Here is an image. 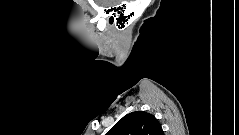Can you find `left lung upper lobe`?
<instances>
[{"mask_svg":"<svg viewBox=\"0 0 239 135\" xmlns=\"http://www.w3.org/2000/svg\"><path fill=\"white\" fill-rule=\"evenodd\" d=\"M107 135H163V130L152 114L135 111L119 120Z\"/></svg>","mask_w":239,"mask_h":135,"instance_id":"left-lung-upper-lobe-1","label":"left lung upper lobe"}]
</instances>
